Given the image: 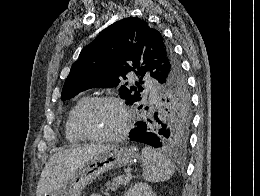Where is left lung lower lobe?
<instances>
[{"instance_id": "left-lung-lower-lobe-1", "label": "left lung lower lobe", "mask_w": 260, "mask_h": 196, "mask_svg": "<svg viewBox=\"0 0 260 196\" xmlns=\"http://www.w3.org/2000/svg\"><path fill=\"white\" fill-rule=\"evenodd\" d=\"M130 139L148 144L155 148L160 147V137L158 134L148 131L146 124L142 121L136 123V128L130 131Z\"/></svg>"}]
</instances>
